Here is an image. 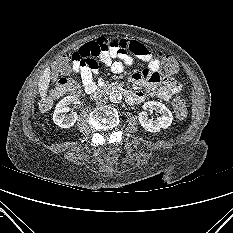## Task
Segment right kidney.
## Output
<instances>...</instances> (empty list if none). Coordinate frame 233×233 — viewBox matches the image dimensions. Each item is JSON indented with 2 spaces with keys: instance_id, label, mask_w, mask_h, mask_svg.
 <instances>
[{
  "instance_id": "obj_1",
  "label": "right kidney",
  "mask_w": 233,
  "mask_h": 233,
  "mask_svg": "<svg viewBox=\"0 0 233 233\" xmlns=\"http://www.w3.org/2000/svg\"><path fill=\"white\" fill-rule=\"evenodd\" d=\"M78 103L79 99L76 96H67L59 101L53 113L54 123L61 128L73 126L78 119V115L75 112L68 113L70 111L69 105Z\"/></svg>"
}]
</instances>
